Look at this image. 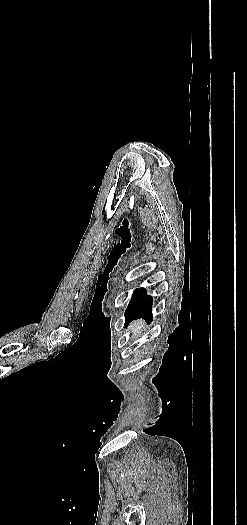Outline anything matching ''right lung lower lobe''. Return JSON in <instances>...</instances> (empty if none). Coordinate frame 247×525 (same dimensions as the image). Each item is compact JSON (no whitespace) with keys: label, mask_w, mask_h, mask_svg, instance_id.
<instances>
[{"label":"right lung lower lobe","mask_w":247,"mask_h":525,"mask_svg":"<svg viewBox=\"0 0 247 525\" xmlns=\"http://www.w3.org/2000/svg\"><path fill=\"white\" fill-rule=\"evenodd\" d=\"M152 301V297L147 295V292L144 288L136 289L125 312V325L140 317H144L151 321Z\"/></svg>","instance_id":"right-lung-lower-lobe-1"}]
</instances>
